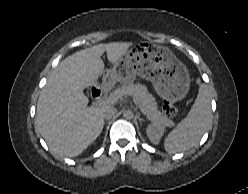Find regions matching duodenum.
<instances>
[{
  "mask_svg": "<svg viewBox=\"0 0 248 194\" xmlns=\"http://www.w3.org/2000/svg\"><path fill=\"white\" fill-rule=\"evenodd\" d=\"M105 86L103 84L94 85L90 90V97L93 101H98L103 96Z\"/></svg>",
  "mask_w": 248,
  "mask_h": 194,
  "instance_id": "1",
  "label": "duodenum"
}]
</instances>
